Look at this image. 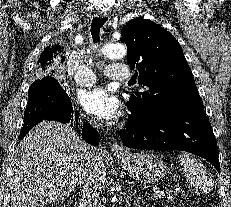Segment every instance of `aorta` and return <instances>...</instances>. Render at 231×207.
<instances>
[{
  "label": "aorta",
  "mask_w": 231,
  "mask_h": 207,
  "mask_svg": "<svg viewBox=\"0 0 231 207\" xmlns=\"http://www.w3.org/2000/svg\"><path fill=\"white\" fill-rule=\"evenodd\" d=\"M100 53L109 59H122L127 54V49L124 44L121 43H109L100 48Z\"/></svg>",
  "instance_id": "1"
}]
</instances>
